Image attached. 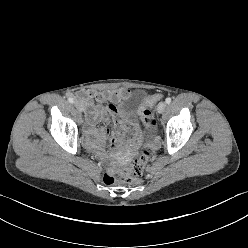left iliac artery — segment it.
Masks as SVG:
<instances>
[{
  "mask_svg": "<svg viewBox=\"0 0 248 248\" xmlns=\"http://www.w3.org/2000/svg\"><path fill=\"white\" fill-rule=\"evenodd\" d=\"M165 102H166L167 104H170V103H171V98H170V97L166 98Z\"/></svg>",
  "mask_w": 248,
  "mask_h": 248,
  "instance_id": "left-iliac-artery-1",
  "label": "left iliac artery"
}]
</instances>
